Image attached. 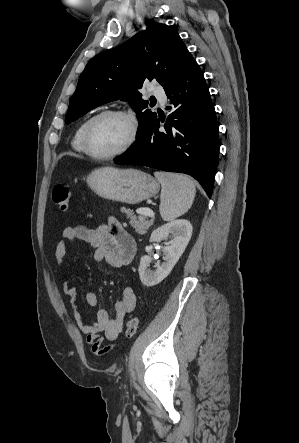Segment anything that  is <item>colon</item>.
Wrapping results in <instances>:
<instances>
[{
  "label": "colon",
  "instance_id": "1",
  "mask_svg": "<svg viewBox=\"0 0 299 443\" xmlns=\"http://www.w3.org/2000/svg\"><path fill=\"white\" fill-rule=\"evenodd\" d=\"M52 200L54 205L60 211H66L70 202V189L66 184H56L52 190ZM139 320L136 317H132L126 323L125 335L128 338L133 337L138 329Z\"/></svg>",
  "mask_w": 299,
  "mask_h": 443
}]
</instances>
